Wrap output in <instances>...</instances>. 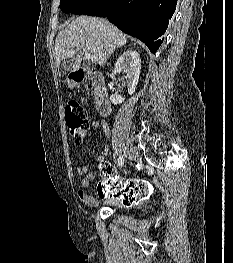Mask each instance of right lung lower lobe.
<instances>
[{"label":"right lung lower lobe","mask_w":233,"mask_h":263,"mask_svg":"<svg viewBox=\"0 0 233 263\" xmlns=\"http://www.w3.org/2000/svg\"><path fill=\"white\" fill-rule=\"evenodd\" d=\"M176 4L177 0H100L87 15L106 17L155 53L162 43V35Z\"/></svg>","instance_id":"right-lung-lower-lobe-1"}]
</instances>
